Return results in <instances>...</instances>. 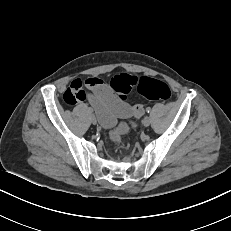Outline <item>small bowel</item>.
Here are the masks:
<instances>
[{"mask_svg": "<svg viewBox=\"0 0 231 231\" xmlns=\"http://www.w3.org/2000/svg\"><path fill=\"white\" fill-rule=\"evenodd\" d=\"M64 99L69 104L88 100L94 108L101 124L110 128L118 119L141 116V105L131 106L119 96L108 84L97 77L86 80L74 79L64 93Z\"/></svg>", "mask_w": 231, "mask_h": 231, "instance_id": "obj_1", "label": "small bowel"}]
</instances>
